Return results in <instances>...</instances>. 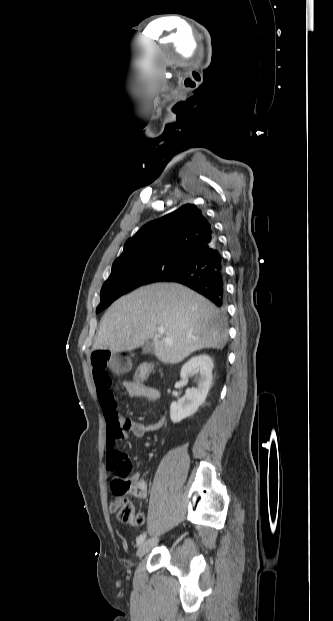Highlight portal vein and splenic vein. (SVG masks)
Listing matches in <instances>:
<instances>
[{"mask_svg":"<svg viewBox=\"0 0 333 621\" xmlns=\"http://www.w3.org/2000/svg\"><path fill=\"white\" fill-rule=\"evenodd\" d=\"M164 332H165L164 328H159V329H158V333H159L160 335H163V334H164ZM166 340H167V341H169V339H167V338H166ZM169 342H170V341H169Z\"/></svg>","mask_w":333,"mask_h":621,"instance_id":"1","label":"portal vein and splenic vein"}]
</instances>
